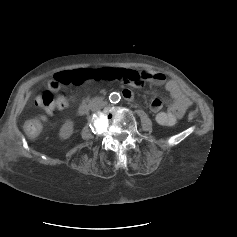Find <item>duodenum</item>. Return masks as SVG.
Wrapping results in <instances>:
<instances>
[{
	"label": "duodenum",
	"mask_w": 237,
	"mask_h": 237,
	"mask_svg": "<svg viewBox=\"0 0 237 237\" xmlns=\"http://www.w3.org/2000/svg\"><path fill=\"white\" fill-rule=\"evenodd\" d=\"M122 94L124 97L126 98H130L131 97V93L129 90L127 89H124L122 91ZM99 100V98H92V99H88V100H85L81 103V105L79 106L78 108V114L79 115H83L85 114L89 108L91 107L92 104L96 103L97 101Z\"/></svg>",
	"instance_id": "obj_1"
}]
</instances>
